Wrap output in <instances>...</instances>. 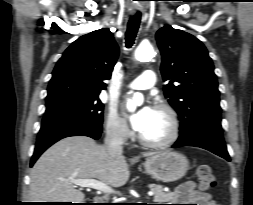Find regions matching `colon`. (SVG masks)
<instances>
[{"instance_id":"1","label":"colon","mask_w":253,"mask_h":205,"mask_svg":"<svg viewBox=\"0 0 253 205\" xmlns=\"http://www.w3.org/2000/svg\"><path fill=\"white\" fill-rule=\"evenodd\" d=\"M197 180L199 189L202 191L213 188L217 181L212 168L207 164H203L198 167Z\"/></svg>"}]
</instances>
